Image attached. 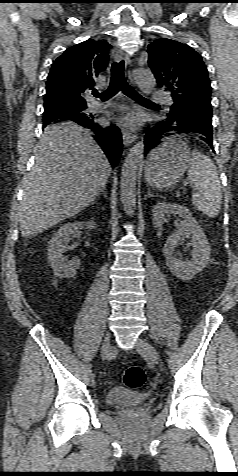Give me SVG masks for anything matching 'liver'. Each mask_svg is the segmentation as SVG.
Returning a JSON list of instances; mask_svg holds the SVG:
<instances>
[{
	"instance_id": "obj_1",
	"label": "liver",
	"mask_w": 238,
	"mask_h": 476,
	"mask_svg": "<svg viewBox=\"0 0 238 476\" xmlns=\"http://www.w3.org/2000/svg\"><path fill=\"white\" fill-rule=\"evenodd\" d=\"M111 166L89 130L73 122L48 126L24 180L21 235L30 238L88 207Z\"/></svg>"
}]
</instances>
